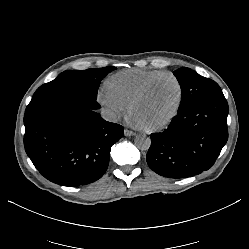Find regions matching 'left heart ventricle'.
Here are the masks:
<instances>
[{
  "mask_svg": "<svg viewBox=\"0 0 249 249\" xmlns=\"http://www.w3.org/2000/svg\"><path fill=\"white\" fill-rule=\"evenodd\" d=\"M179 99V88L174 79L164 77L156 81L132 109L144 127L156 125L168 118Z\"/></svg>",
  "mask_w": 249,
  "mask_h": 249,
  "instance_id": "left-heart-ventricle-1",
  "label": "left heart ventricle"
}]
</instances>
